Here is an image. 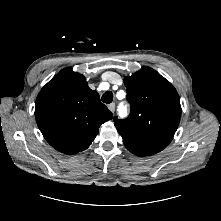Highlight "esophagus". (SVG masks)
<instances>
[{
	"label": "esophagus",
	"mask_w": 221,
	"mask_h": 221,
	"mask_svg": "<svg viewBox=\"0 0 221 221\" xmlns=\"http://www.w3.org/2000/svg\"><path fill=\"white\" fill-rule=\"evenodd\" d=\"M108 108H109V110H110L111 112L114 113V111H115V103L109 104V105H108Z\"/></svg>",
	"instance_id": "obj_1"
}]
</instances>
